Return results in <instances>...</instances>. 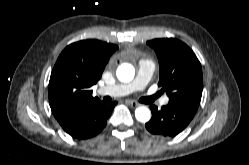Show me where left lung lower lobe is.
Instances as JSON below:
<instances>
[{
  "label": "left lung lower lobe",
  "instance_id": "1",
  "mask_svg": "<svg viewBox=\"0 0 249 165\" xmlns=\"http://www.w3.org/2000/svg\"><path fill=\"white\" fill-rule=\"evenodd\" d=\"M152 118L145 124L146 129L160 137H174L182 132L193 119L195 113L182 107L167 104L158 109L150 106Z\"/></svg>",
  "mask_w": 249,
  "mask_h": 165
}]
</instances>
